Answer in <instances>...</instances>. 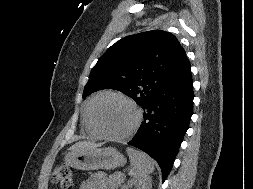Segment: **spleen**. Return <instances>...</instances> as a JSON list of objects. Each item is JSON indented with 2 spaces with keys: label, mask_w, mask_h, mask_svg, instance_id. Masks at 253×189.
Here are the masks:
<instances>
[{
  "label": "spleen",
  "mask_w": 253,
  "mask_h": 189,
  "mask_svg": "<svg viewBox=\"0 0 253 189\" xmlns=\"http://www.w3.org/2000/svg\"><path fill=\"white\" fill-rule=\"evenodd\" d=\"M126 151L131 163L130 176L142 178L154 171L155 162L146 153L130 147Z\"/></svg>",
  "instance_id": "obj_1"
}]
</instances>
